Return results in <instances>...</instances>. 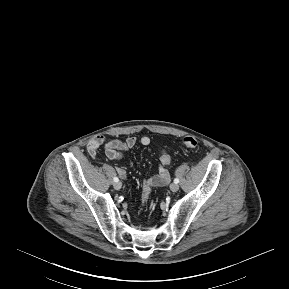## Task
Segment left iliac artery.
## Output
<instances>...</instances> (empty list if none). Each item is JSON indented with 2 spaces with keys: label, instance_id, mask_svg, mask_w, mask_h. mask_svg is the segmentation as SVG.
<instances>
[{
  "label": "left iliac artery",
  "instance_id": "1",
  "mask_svg": "<svg viewBox=\"0 0 289 289\" xmlns=\"http://www.w3.org/2000/svg\"><path fill=\"white\" fill-rule=\"evenodd\" d=\"M174 183H179V179H178V178H175V179H174Z\"/></svg>",
  "mask_w": 289,
  "mask_h": 289
}]
</instances>
